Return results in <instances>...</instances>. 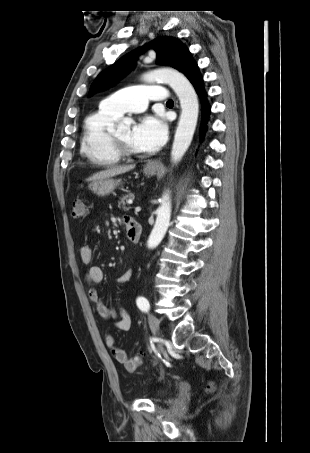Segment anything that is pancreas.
Masks as SVG:
<instances>
[{"label": "pancreas", "instance_id": "1", "mask_svg": "<svg viewBox=\"0 0 310 453\" xmlns=\"http://www.w3.org/2000/svg\"><path fill=\"white\" fill-rule=\"evenodd\" d=\"M135 198V195L132 194V193H129L125 196H123L120 201L118 202V207L119 208H122L124 211H128L130 209L129 206H126L127 205V201L128 200H134Z\"/></svg>", "mask_w": 310, "mask_h": 453}]
</instances>
